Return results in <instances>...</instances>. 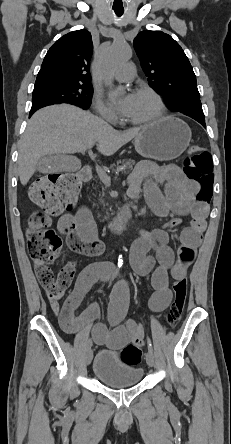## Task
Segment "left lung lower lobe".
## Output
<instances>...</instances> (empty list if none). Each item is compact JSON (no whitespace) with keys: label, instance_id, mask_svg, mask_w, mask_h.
Returning <instances> with one entry per match:
<instances>
[{"label":"left lung lower lobe","instance_id":"obj_1","mask_svg":"<svg viewBox=\"0 0 231 444\" xmlns=\"http://www.w3.org/2000/svg\"><path fill=\"white\" fill-rule=\"evenodd\" d=\"M193 119H195V120L198 121L203 127H205V119H203V118H198V117H195V118H193Z\"/></svg>","mask_w":231,"mask_h":444}]
</instances>
